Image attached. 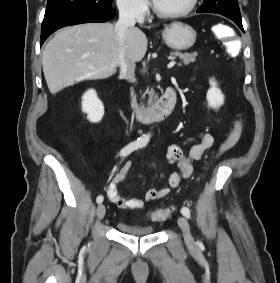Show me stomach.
I'll use <instances>...</instances> for the list:
<instances>
[{
  "instance_id": "1",
  "label": "stomach",
  "mask_w": 280,
  "mask_h": 283,
  "mask_svg": "<svg viewBox=\"0 0 280 283\" xmlns=\"http://www.w3.org/2000/svg\"><path fill=\"white\" fill-rule=\"evenodd\" d=\"M165 44L173 50H187L196 41V31L185 23L174 22L162 31Z\"/></svg>"
}]
</instances>
